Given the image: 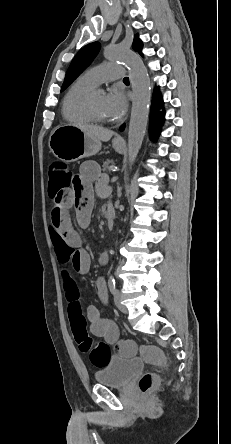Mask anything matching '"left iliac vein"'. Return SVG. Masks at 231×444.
I'll use <instances>...</instances> for the list:
<instances>
[{"mask_svg": "<svg viewBox=\"0 0 231 444\" xmlns=\"http://www.w3.org/2000/svg\"><path fill=\"white\" fill-rule=\"evenodd\" d=\"M114 301L119 311H121L124 314H127L128 310L126 306L121 302L122 301L121 292L117 289L114 292Z\"/></svg>", "mask_w": 231, "mask_h": 444, "instance_id": "left-iliac-vein-1", "label": "left iliac vein"}]
</instances>
